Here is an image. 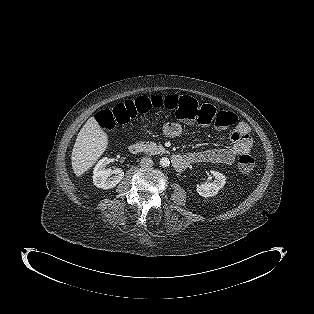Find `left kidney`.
I'll return each mask as SVG.
<instances>
[{"instance_id": "5707ae66", "label": "left kidney", "mask_w": 314, "mask_h": 314, "mask_svg": "<svg viewBox=\"0 0 314 314\" xmlns=\"http://www.w3.org/2000/svg\"><path fill=\"white\" fill-rule=\"evenodd\" d=\"M211 174L214 177V181L212 183L197 185L196 188L197 193L205 198L217 195L219 190L223 188L226 183V178L222 173L211 171Z\"/></svg>"}]
</instances>
